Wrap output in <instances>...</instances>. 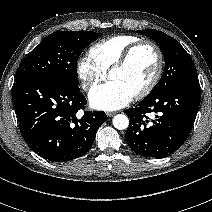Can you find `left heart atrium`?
Listing matches in <instances>:
<instances>
[{"label":"left heart atrium","mask_w":212,"mask_h":212,"mask_svg":"<svg viewBox=\"0 0 212 212\" xmlns=\"http://www.w3.org/2000/svg\"><path fill=\"white\" fill-rule=\"evenodd\" d=\"M134 95L114 81L95 87L89 94L92 107L99 110H116L124 107Z\"/></svg>","instance_id":"1"}]
</instances>
